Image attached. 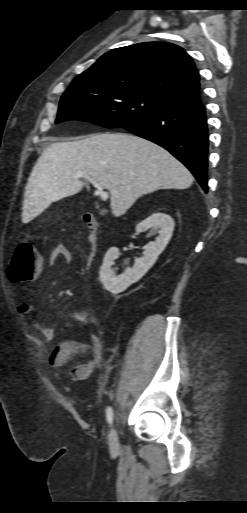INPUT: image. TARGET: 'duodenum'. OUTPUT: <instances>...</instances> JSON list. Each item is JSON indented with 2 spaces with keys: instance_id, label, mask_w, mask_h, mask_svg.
Masks as SVG:
<instances>
[{
  "instance_id": "obj_1",
  "label": "duodenum",
  "mask_w": 247,
  "mask_h": 513,
  "mask_svg": "<svg viewBox=\"0 0 247 513\" xmlns=\"http://www.w3.org/2000/svg\"><path fill=\"white\" fill-rule=\"evenodd\" d=\"M83 223L87 229V242L89 245V257L94 261L97 254V231L98 223L92 213H84L82 216Z\"/></svg>"
}]
</instances>
